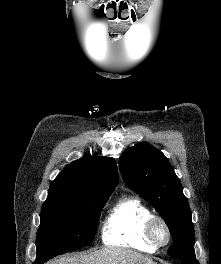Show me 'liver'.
I'll return each instance as SVG.
<instances>
[{
    "label": "liver",
    "instance_id": "liver-1",
    "mask_svg": "<svg viewBox=\"0 0 221 264\" xmlns=\"http://www.w3.org/2000/svg\"><path fill=\"white\" fill-rule=\"evenodd\" d=\"M153 262L136 251L107 247L88 254L63 256L46 264H145Z\"/></svg>",
    "mask_w": 221,
    "mask_h": 264
}]
</instances>
